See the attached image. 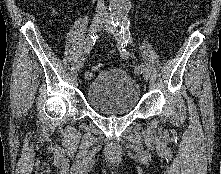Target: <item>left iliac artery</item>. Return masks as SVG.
I'll return each instance as SVG.
<instances>
[{
  "label": "left iliac artery",
  "mask_w": 221,
  "mask_h": 174,
  "mask_svg": "<svg viewBox=\"0 0 221 174\" xmlns=\"http://www.w3.org/2000/svg\"><path fill=\"white\" fill-rule=\"evenodd\" d=\"M112 24L114 27L119 26L121 28V34L124 40L122 50L120 51V56L123 59H128L129 58V52L125 49V45H127L130 40H131V34L129 30L130 22L127 18H123L121 20H118L116 22L112 21ZM136 73H140V67L136 68Z\"/></svg>",
  "instance_id": "obj_1"
}]
</instances>
